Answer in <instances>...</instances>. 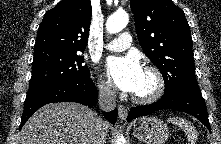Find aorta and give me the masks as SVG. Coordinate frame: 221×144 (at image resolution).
<instances>
[{
    "label": "aorta",
    "mask_w": 221,
    "mask_h": 144,
    "mask_svg": "<svg viewBox=\"0 0 221 144\" xmlns=\"http://www.w3.org/2000/svg\"><path fill=\"white\" fill-rule=\"evenodd\" d=\"M129 22V16L125 11H119L112 14L106 22V30L110 34L122 31ZM125 138L123 135L117 137L116 144H124Z\"/></svg>",
    "instance_id": "762f6f07"
}]
</instances>
